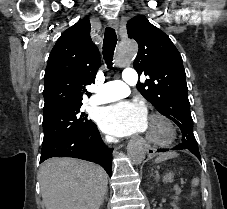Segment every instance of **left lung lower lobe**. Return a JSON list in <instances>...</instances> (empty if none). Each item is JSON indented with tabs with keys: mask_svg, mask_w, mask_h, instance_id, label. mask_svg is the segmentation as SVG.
Masks as SVG:
<instances>
[{
	"mask_svg": "<svg viewBox=\"0 0 227 209\" xmlns=\"http://www.w3.org/2000/svg\"><path fill=\"white\" fill-rule=\"evenodd\" d=\"M173 149H186V148H183L180 144L176 147H174ZM168 149H159L157 150L158 152H164V151H167ZM200 161H201V156H200V153L199 151H195V150H190Z\"/></svg>",
	"mask_w": 227,
	"mask_h": 209,
	"instance_id": "0a47b994",
	"label": "left lung lower lobe"
}]
</instances>
